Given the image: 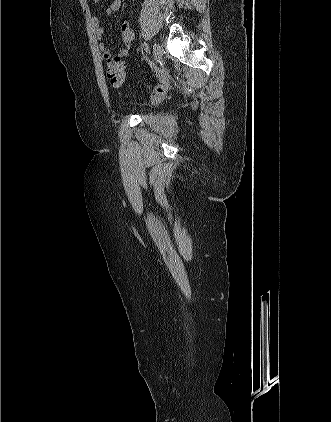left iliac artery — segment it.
Segmentation results:
<instances>
[{
  "mask_svg": "<svg viewBox=\"0 0 331 422\" xmlns=\"http://www.w3.org/2000/svg\"><path fill=\"white\" fill-rule=\"evenodd\" d=\"M143 47H144L146 52H149V46L146 42L143 43Z\"/></svg>",
  "mask_w": 331,
  "mask_h": 422,
  "instance_id": "1",
  "label": "left iliac artery"
}]
</instances>
